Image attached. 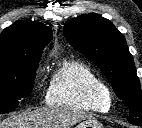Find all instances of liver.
Masks as SVG:
<instances>
[{
	"label": "liver",
	"mask_w": 142,
	"mask_h": 128,
	"mask_svg": "<svg viewBox=\"0 0 142 128\" xmlns=\"http://www.w3.org/2000/svg\"><path fill=\"white\" fill-rule=\"evenodd\" d=\"M88 118L91 115L83 111L49 107L12 115L0 121V128H71Z\"/></svg>",
	"instance_id": "6515ba94"
}]
</instances>
